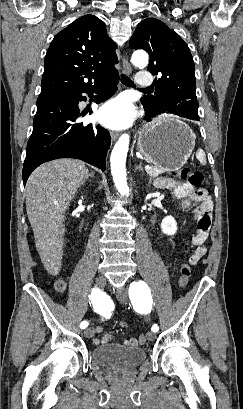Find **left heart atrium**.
Listing matches in <instances>:
<instances>
[{
	"label": "left heart atrium",
	"instance_id": "left-heart-atrium-1",
	"mask_svg": "<svg viewBox=\"0 0 243 409\" xmlns=\"http://www.w3.org/2000/svg\"><path fill=\"white\" fill-rule=\"evenodd\" d=\"M133 118V107L130 101L123 96L107 102L98 113L99 121L112 129H122L129 126Z\"/></svg>",
	"mask_w": 243,
	"mask_h": 409
}]
</instances>
